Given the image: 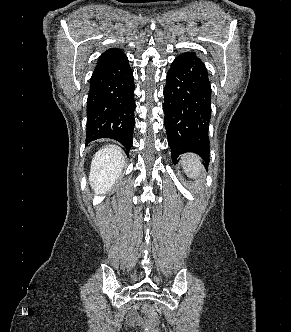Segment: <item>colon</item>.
Instances as JSON below:
<instances>
[{"mask_svg":"<svg viewBox=\"0 0 291 332\" xmlns=\"http://www.w3.org/2000/svg\"><path fill=\"white\" fill-rule=\"evenodd\" d=\"M144 320L146 324L145 332H159L157 325V312L150 305H144L143 307Z\"/></svg>","mask_w":291,"mask_h":332,"instance_id":"obj_1","label":"colon"}]
</instances>
